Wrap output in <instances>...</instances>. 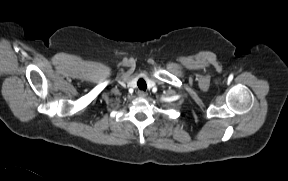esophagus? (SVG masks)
<instances>
[{"mask_svg":"<svg viewBox=\"0 0 288 181\" xmlns=\"http://www.w3.org/2000/svg\"><path fill=\"white\" fill-rule=\"evenodd\" d=\"M137 95H138L139 97H142V98H144V97H146V96H147V93H146V92H144L143 90H139V91L137 92Z\"/></svg>","mask_w":288,"mask_h":181,"instance_id":"34e87169","label":"esophagus"}]
</instances>
